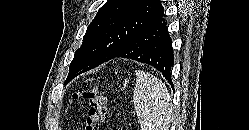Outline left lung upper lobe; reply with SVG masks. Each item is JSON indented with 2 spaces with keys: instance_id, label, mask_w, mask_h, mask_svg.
Segmentation results:
<instances>
[{
  "instance_id": "left-lung-upper-lobe-1",
  "label": "left lung upper lobe",
  "mask_w": 249,
  "mask_h": 130,
  "mask_svg": "<svg viewBox=\"0 0 249 130\" xmlns=\"http://www.w3.org/2000/svg\"><path fill=\"white\" fill-rule=\"evenodd\" d=\"M163 15L160 0H108L88 26L65 84L112 59L136 34Z\"/></svg>"
}]
</instances>
